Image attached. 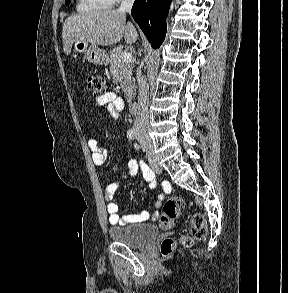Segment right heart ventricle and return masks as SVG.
Listing matches in <instances>:
<instances>
[{
    "mask_svg": "<svg viewBox=\"0 0 288 293\" xmlns=\"http://www.w3.org/2000/svg\"><path fill=\"white\" fill-rule=\"evenodd\" d=\"M111 0H78L76 9L78 12H93L107 10L112 6Z\"/></svg>",
    "mask_w": 288,
    "mask_h": 293,
    "instance_id": "e07e8e85",
    "label": "right heart ventricle"
}]
</instances>
